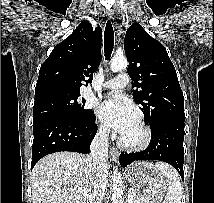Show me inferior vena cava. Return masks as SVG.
Returning <instances> with one entry per match:
<instances>
[{
    "mask_svg": "<svg viewBox=\"0 0 214 203\" xmlns=\"http://www.w3.org/2000/svg\"><path fill=\"white\" fill-rule=\"evenodd\" d=\"M109 131L107 127L99 128L90 145V154L86 158L90 182L89 203H102L105 196L108 183L107 161Z\"/></svg>",
    "mask_w": 214,
    "mask_h": 203,
    "instance_id": "inferior-vena-cava-1",
    "label": "inferior vena cava"
}]
</instances>
